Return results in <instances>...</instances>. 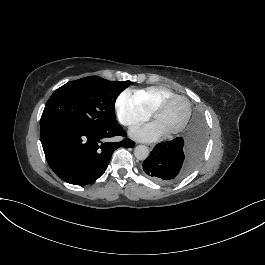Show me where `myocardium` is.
Wrapping results in <instances>:
<instances>
[{"mask_svg":"<svg viewBox=\"0 0 265 265\" xmlns=\"http://www.w3.org/2000/svg\"><path fill=\"white\" fill-rule=\"evenodd\" d=\"M174 99H178V100H181L183 103H184V108H185V111H184V115H183V118L182 120L180 121L179 124H177L174 128H172L171 130L167 131L166 133L167 134H176V133H179L181 132L187 125L189 119H190V115H191V104L190 102L188 101L187 98H185L184 96L182 95H177V94H170L164 98H162L161 100H159L152 112H151V115H152V119H155L156 117V114L157 112L163 108L165 105H167L171 100H174Z\"/></svg>","mask_w":265,"mask_h":265,"instance_id":"obj_1","label":"myocardium"}]
</instances>
